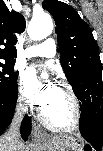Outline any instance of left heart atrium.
<instances>
[{"instance_id":"left-heart-atrium-1","label":"left heart atrium","mask_w":103,"mask_h":151,"mask_svg":"<svg viewBox=\"0 0 103 151\" xmlns=\"http://www.w3.org/2000/svg\"><path fill=\"white\" fill-rule=\"evenodd\" d=\"M24 89L27 96L44 109L51 101L56 86L39 78L37 68L31 67L23 74Z\"/></svg>"}]
</instances>
